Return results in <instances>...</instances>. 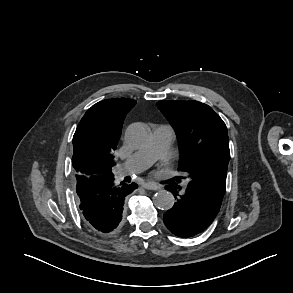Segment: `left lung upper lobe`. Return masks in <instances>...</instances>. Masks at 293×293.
I'll return each instance as SVG.
<instances>
[{
  "mask_svg": "<svg viewBox=\"0 0 293 293\" xmlns=\"http://www.w3.org/2000/svg\"><path fill=\"white\" fill-rule=\"evenodd\" d=\"M159 109L176 128L181 176L207 193L223 198L230 159L227 127L208 105L198 101H159Z\"/></svg>",
  "mask_w": 293,
  "mask_h": 293,
  "instance_id": "left-lung-upper-lobe-1",
  "label": "left lung upper lobe"
}]
</instances>
